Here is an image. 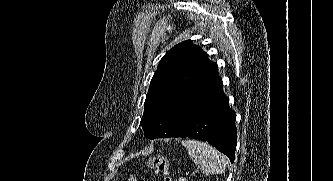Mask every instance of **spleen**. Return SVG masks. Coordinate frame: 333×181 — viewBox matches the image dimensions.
I'll list each match as a JSON object with an SVG mask.
<instances>
[{
	"label": "spleen",
	"instance_id": "obj_1",
	"mask_svg": "<svg viewBox=\"0 0 333 181\" xmlns=\"http://www.w3.org/2000/svg\"><path fill=\"white\" fill-rule=\"evenodd\" d=\"M190 159L201 166L205 175L222 174L226 169V157L207 143L197 140H182Z\"/></svg>",
	"mask_w": 333,
	"mask_h": 181
}]
</instances>
